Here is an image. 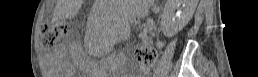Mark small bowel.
Listing matches in <instances>:
<instances>
[{"instance_id":"small-bowel-1","label":"small bowel","mask_w":258,"mask_h":77,"mask_svg":"<svg viewBox=\"0 0 258 77\" xmlns=\"http://www.w3.org/2000/svg\"><path fill=\"white\" fill-rule=\"evenodd\" d=\"M157 45H158V46H161V45H162V42H161V41H158V42H157Z\"/></svg>"}]
</instances>
